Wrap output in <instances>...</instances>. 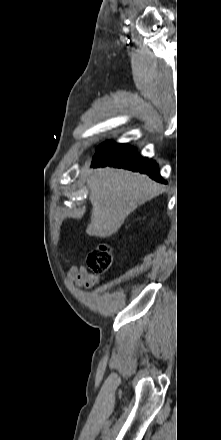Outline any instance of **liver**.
Segmentation results:
<instances>
[{"label": "liver", "instance_id": "liver-1", "mask_svg": "<svg viewBox=\"0 0 221 440\" xmlns=\"http://www.w3.org/2000/svg\"><path fill=\"white\" fill-rule=\"evenodd\" d=\"M89 165L86 161L83 170L88 175L92 204L86 229L90 236H112L130 213L161 192L160 184L140 173L110 167L89 170Z\"/></svg>", "mask_w": 221, "mask_h": 440}]
</instances>
